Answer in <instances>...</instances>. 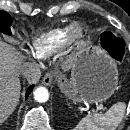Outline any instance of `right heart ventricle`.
Instances as JSON below:
<instances>
[{
    "mask_svg": "<svg viewBox=\"0 0 130 130\" xmlns=\"http://www.w3.org/2000/svg\"><path fill=\"white\" fill-rule=\"evenodd\" d=\"M70 26L51 30L35 37L31 42L33 56L44 59L62 49L69 43Z\"/></svg>",
    "mask_w": 130,
    "mask_h": 130,
    "instance_id": "right-heart-ventricle-1",
    "label": "right heart ventricle"
}]
</instances>
